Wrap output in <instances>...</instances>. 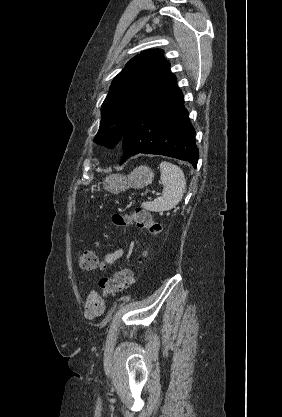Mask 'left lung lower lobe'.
I'll use <instances>...</instances> for the list:
<instances>
[{
	"mask_svg": "<svg viewBox=\"0 0 282 417\" xmlns=\"http://www.w3.org/2000/svg\"><path fill=\"white\" fill-rule=\"evenodd\" d=\"M121 141L120 164L135 154L144 153L186 160L196 167L195 129L184 107L176 77L170 71L131 114Z\"/></svg>",
	"mask_w": 282,
	"mask_h": 417,
	"instance_id": "obj_1",
	"label": "left lung lower lobe"
}]
</instances>
